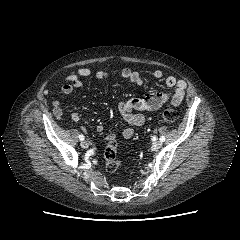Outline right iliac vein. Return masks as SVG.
Here are the masks:
<instances>
[{
	"instance_id": "obj_1",
	"label": "right iliac vein",
	"mask_w": 240,
	"mask_h": 240,
	"mask_svg": "<svg viewBox=\"0 0 240 240\" xmlns=\"http://www.w3.org/2000/svg\"><path fill=\"white\" fill-rule=\"evenodd\" d=\"M80 145H81L82 148H88L89 147V142L88 141H82L80 143Z\"/></svg>"
}]
</instances>
